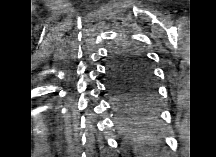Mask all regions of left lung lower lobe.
I'll list each match as a JSON object with an SVG mask.
<instances>
[{
  "mask_svg": "<svg viewBox=\"0 0 216 157\" xmlns=\"http://www.w3.org/2000/svg\"><path fill=\"white\" fill-rule=\"evenodd\" d=\"M109 67V65H108ZM109 72V68H108ZM110 76V73H109ZM108 89L114 97V106L120 118L119 127L123 133L130 134L136 131L139 125V117L134 112L133 93L131 86H122L115 83L111 76L108 81Z\"/></svg>",
  "mask_w": 216,
  "mask_h": 157,
  "instance_id": "1",
  "label": "left lung lower lobe"
}]
</instances>
